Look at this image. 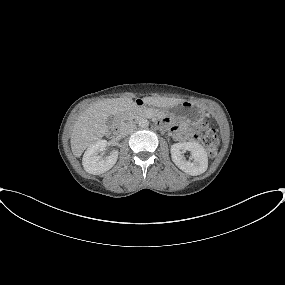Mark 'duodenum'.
I'll list each match as a JSON object with an SVG mask.
<instances>
[{"label":"duodenum","mask_w":285,"mask_h":285,"mask_svg":"<svg viewBox=\"0 0 285 285\" xmlns=\"http://www.w3.org/2000/svg\"><path fill=\"white\" fill-rule=\"evenodd\" d=\"M133 105H134L133 109L120 112L117 115L115 123L112 127V132L114 134H118L124 129L125 127L124 119H125L126 112H131L134 115L141 116L142 110L144 109V101L142 99H136L133 102Z\"/></svg>","instance_id":"1"}]
</instances>
